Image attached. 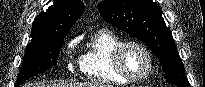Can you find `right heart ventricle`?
I'll use <instances>...</instances> for the list:
<instances>
[{"mask_svg":"<svg viewBox=\"0 0 205 87\" xmlns=\"http://www.w3.org/2000/svg\"><path fill=\"white\" fill-rule=\"evenodd\" d=\"M122 39L114 32L101 29L89 39L81 55L80 69L86 79L99 84L125 85L112 65V54Z\"/></svg>","mask_w":205,"mask_h":87,"instance_id":"1","label":"right heart ventricle"}]
</instances>
